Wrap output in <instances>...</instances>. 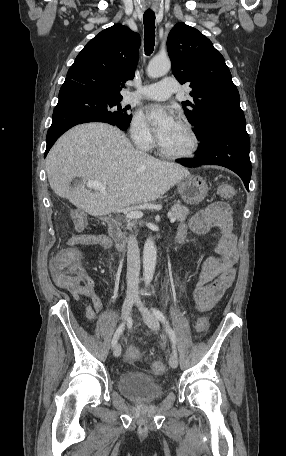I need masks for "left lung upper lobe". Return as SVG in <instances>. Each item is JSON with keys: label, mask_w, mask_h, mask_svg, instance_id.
I'll return each mask as SVG.
<instances>
[{"label": "left lung upper lobe", "mask_w": 286, "mask_h": 456, "mask_svg": "<svg viewBox=\"0 0 286 456\" xmlns=\"http://www.w3.org/2000/svg\"><path fill=\"white\" fill-rule=\"evenodd\" d=\"M172 71L190 83L193 101L182 102L198 139L217 128L246 130L239 92L223 56L197 29L177 23L167 39Z\"/></svg>", "instance_id": "1"}]
</instances>
